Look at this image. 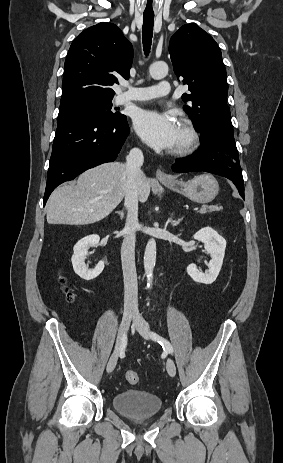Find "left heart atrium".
Masks as SVG:
<instances>
[{
	"label": "left heart atrium",
	"mask_w": 283,
	"mask_h": 463,
	"mask_svg": "<svg viewBox=\"0 0 283 463\" xmlns=\"http://www.w3.org/2000/svg\"><path fill=\"white\" fill-rule=\"evenodd\" d=\"M139 136L157 150L172 149L176 142L177 123L167 113L156 110H140L134 118Z\"/></svg>",
	"instance_id": "1"
}]
</instances>
